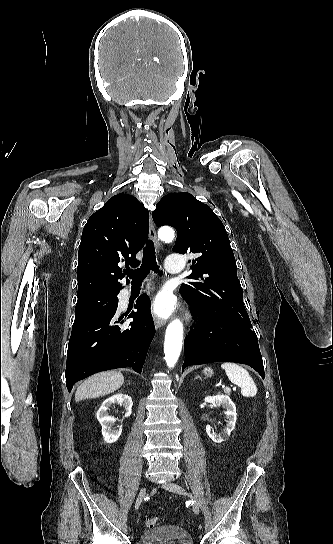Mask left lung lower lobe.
I'll use <instances>...</instances> for the list:
<instances>
[{
	"mask_svg": "<svg viewBox=\"0 0 333 544\" xmlns=\"http://www.w3.org/2000/svg\"><path fill=\"white\" fill-rule=\"evenodd\" d=\"M183 298L194 310L196 325L184 341L185 361L182 370L189 365L229 361L247 364L264 378L257 337L250 328L233 320L216 317L185 296Z\"/></svg>",
	"mask_w": 333,
	"mask_h": 544,
	"instance_id": "obj_1",
	"label": "left lung lower lobe"
}]
</instances>
